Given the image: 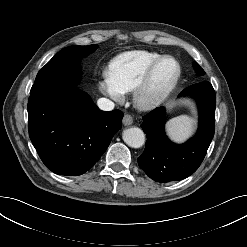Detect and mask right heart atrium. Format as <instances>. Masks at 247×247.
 Returning <instances> with one entry per match:
<instances>
[{
	"label": "right heart atrium",
	"instance_id": "obj_1",
	"mask_svg": "<svg viewBox=\"0 0 247 247\" xmlns=\"http://www.w3.org/2000/svg\"><path fill=\"white\" fill-rule=\"evenodd\" d=\"M99 89L102 93L110 96L114 100H121L123 92L113 83L109 73H104L99 81Z\"/></svg>",
	"mask_w": 247,
	"mask_h": 247
}]
</instances>
